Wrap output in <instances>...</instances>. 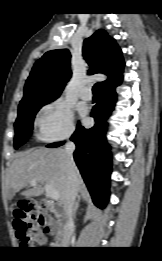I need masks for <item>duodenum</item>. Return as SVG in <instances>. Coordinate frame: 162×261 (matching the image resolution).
I'll list each match as a JSON object with an SVG mask.
<instances>
[{
    "instance_id": "410a0bca",
    "label": "duodenum",
    "mask_w": 162,
    "mask_h": 261,
    "mask_svg": "<svg viewBox=\"0 0 162 261\" xmlns=\"http://www.w3.org/2000/svg\"><path fill=\"white\" fill-rule=\"evenodd\" d=\"M43 227H45V231L47 233L53 234L54 238V245L57 247L65 246L67 236L69 235L70 229H64L62 224L56 222L50 216H46L45 214V221L43 222Z\"/></svg>"
}]
</instances>
